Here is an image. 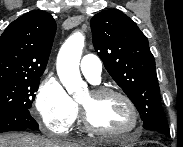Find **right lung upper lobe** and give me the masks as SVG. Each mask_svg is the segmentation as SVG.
<instances>
[{
  "mask_svg": "<svg viewBox=\"0 0 183 147\" xmlns=\"http://www.w3.org/2000/svg\"><path fill=\"white\" fill-rule=\"evenodd\" d=\"M55 32L46 11L33 10L13 21L0 37V81L42 76Z\"/></svg>",
  "mask_w": 183,
  "mask_h": 147,
  "instance_id": "1",
  "label": "right lung upper lobe"
}]
</instances>
